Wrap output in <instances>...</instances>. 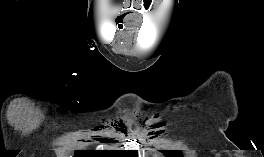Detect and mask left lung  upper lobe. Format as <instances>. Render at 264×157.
<instances>
[{
    "instance_id": "obj_1",
    "label": "left lung upper lobe",
    "mask_w": 264,
    "mask_h": 157,
    "mask_svg": "<svg viewBox=\"0 0 264 157\" xmlns=\"http://www.w3.org/2000/svg\"><path fill=\"white\" fill-rule=\"evenodd\" d=\"M165 157H183L179 150H162Z\"/></svg>"
}]
</instances>
